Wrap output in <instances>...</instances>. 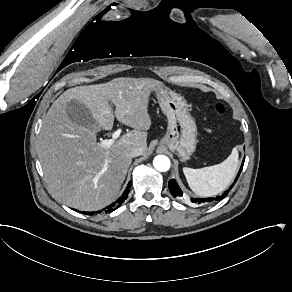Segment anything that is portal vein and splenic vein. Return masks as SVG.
<instances>
[{"label": "portal vein and splenic vein", "instance_id": "18ae733b", "mask_svg": "<svg viewBox=\"0 0 292 292\" xmlns=\"http://www.w3.org/2000/svg\"><path fill=\"white\" fill-rule=\"evenodd\" d=\"M120 134L121 129L116 130L112 135V139L101 140V145L107 148L111 147L112 144H114L115 140L120 136Z\"/></svg>", "mask_w": 292, "mask_h": 292}]
</instances>
